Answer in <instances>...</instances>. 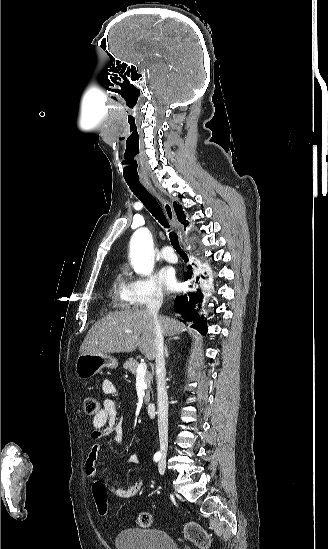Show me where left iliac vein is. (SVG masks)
I'll list each match as a JSON object with an SVG mask.
<instances>
[{"instance_id":"4c4485c4","label":"left iliac vein","mask_w":328,"mask_h":549,"mask_svg":"<svg viewBox=\"0 0 328 549\" xmlns=\"http://www.w3.org/2000/svg\"><path fill=\"white\" fill-rule=\"evenodd\" d=\"M165 460H161L158 464V470L160 472V474H163L164 471H165Z\"/></svg>"}]
</instances>
